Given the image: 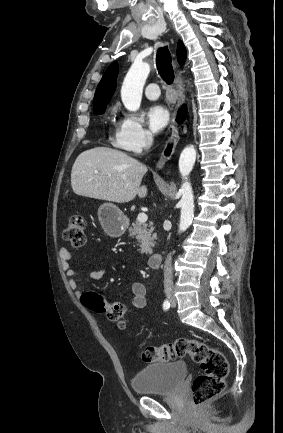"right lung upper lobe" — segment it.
Instances as JSON below:
<instances>
[{"label":"right lung upper lobe","instance_id":"obj_1","mask_svg":"<svg viewBox=\"0 0 283 433\" xmlns=\"http://www.w3.org/2000/svg\"><path fill=\"white\" fill-rule=\"evenodd\" d=\"M187 57L185 46L181 41L177 45V58L180 65H183ZM118 74V64L113 62L105 74L103 75L100 83L97 86L94 96L93 110L107 106L111 99L116 87V79Z\"/></svg>","mask_w":283,"mask_h":433}]
</instances>
